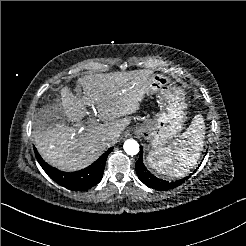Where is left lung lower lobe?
<instances>
[{"instance_id":"1","label":"left lung lower lobe","mask_w":246,"mask_h":246,"mask_svg":"<svg viewBox=\"0 0 246 246\" xmlns=\"http://www.w3.org/2000/svg\"><path fill=\"white\" fill-rule=\"evenodd\" d=\"M135 169L139 179L148 187L154 188L156 190H167L174 186H178L184 182V180L178 182H168L158 179L156 176H154L144 165L143 158H142V150H141L140 157L135 164Z\"/></svg>"}]
</instances>
